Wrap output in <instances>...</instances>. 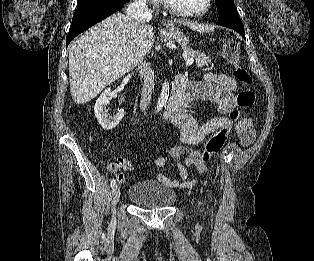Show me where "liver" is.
Wrapping results in <instances>:
<instances>
[{
	"label": "liver",
	"mask_w": 314,
	"mask_h": 261,
	"mask_svg": "<svg viewBox=\"0 0 314 261\" xmlns=\"http://www.w3.org/2000/svg\"><path fill=\"white\" fill-rule=\"evenodd\" d=\"M167 25H173L168 21ZM154 43L146 21L115 13L75 39L69 50V77L73 101L80 105L140 64ZM110 67L107 71L102 69Z\"/></svg>",
	"instance_id": "6515ba94"
}]
</instances>
